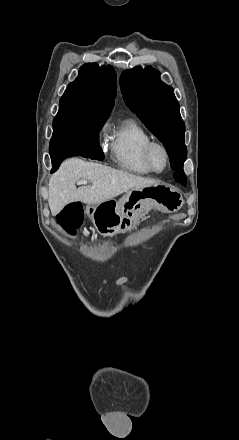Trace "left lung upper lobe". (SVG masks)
<instances>
[{
  "label": "left lung upper lobe",
  "mask_w": 239,
  "mask_h": 440,
  "mask_svg": "<svg viewBox=\"0 0 239 440\" xmlns=\"http://www.w3.org/2000/svg\"><path fill=\"white\" fill-rule=\"evenodd\" d=\"M120 87L127 106L167 149L172 169L183 170L187 155L185 124L172 87L163 83L159 72L151 66L124 71Z\"/></svg>",
  "instance_id": "1"
}]
</instances>
